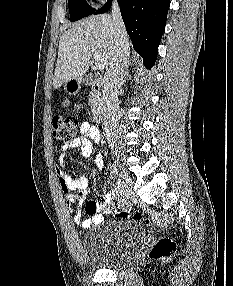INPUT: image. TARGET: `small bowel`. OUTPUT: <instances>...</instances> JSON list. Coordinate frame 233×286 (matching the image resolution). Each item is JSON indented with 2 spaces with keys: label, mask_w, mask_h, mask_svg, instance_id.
I'll use <instances>...</instances> for the list:
<instances>
[{
  "label": "small bowel",
  "mask_w": 233,
  "mask_h": 286,
  "mask_svg": "<svg viewBox=\"0 0 233 286\" xmlns=\"http://www.w3.org/2000/svg\"><path fill=\"white\" fill-rule=\"evenodd\" d=\"M96 142L101 149L105 147V141L100 131L89 122H83L80 125V135L72 142L65 143L61 146L62 151L77 149L82 156H89L93 150L92 142ZM95 167L102 170L104 166L103 151L95 159ZM56 171L62 190L66 194L67 205L70 209L76 205L74 210V221L79 227L88 229L92 226L99 225L107 213V204L111 200L110 194H105L98 200L90 201L86 204L85 212L88 217H83L81 212L82 197L88 191V180L85 175L78 174L71 176L64 166V161L60 160L56 165Z\"/></svg>",
  "instance_id": "small-bowel-1"
}]
</instances>
